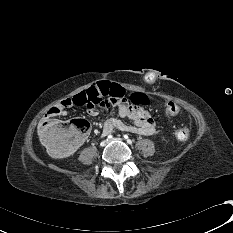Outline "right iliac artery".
Segmentation results:
<instances>
[{
  "mask_svg": "<svg viewBox=\"0 0 233 233\" xmlns=\"http://www.w3.org/2000/svg\"><path fill=\"white\" fill-rule=\"evenodd\" d=\"M112 137H113L112 135H108V137H107V138H108V139H111ZM108 139H107V140H108Z\"/></svg>",
  "mask_w": 233,
  "mask_h": 233,
  "instance_id": "1",
  "label": "right iliac artery"
}]
</instances>
